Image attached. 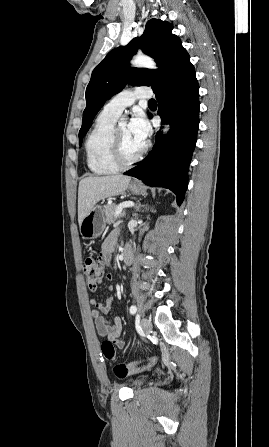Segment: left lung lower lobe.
Here are the masks:
<instances>
[{"mask_svg": "<svg viewBox=\"0 0 269 447\" xmlns=\"http://www.w3.org/2000/svg\"><path fill=\"white\" fill-rule=\"evenodd\" d=\"M158 115L171 129L166 138L160 131L152 151L141 164L124 173L148 186L170 189L181 205L188 186V168L199 127V86L190 56L182 52L171 76L154 91ZM150 118L152 115L149 114Z\"/></svg>", "mask_w": 269, "mask_h": 447, "instance_id": "0a47b994", "label": "left lung lower lobe"}]
</instances>
